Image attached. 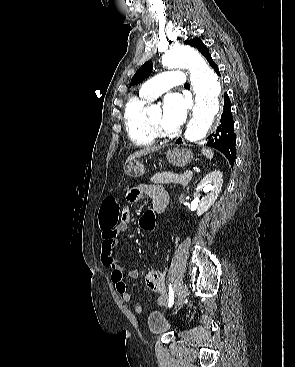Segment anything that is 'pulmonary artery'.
<instances>
[{"label": "pulmonary artery", "mask_w": 295, "mask_h": 367, "mask_svg": "<svg viewBox=\"0 0 295 367\" xmlns=\"http://www.w3.org/2000/svg\"><path fill=\"white\" fill-rule=\"evenodd\" d=\"M185 76L181 71H165L147 81L140 89V96L153 99L174 86L183 85Z\"/></svg>", "instance_id": "e3ab8cb5"}]
</instances>
